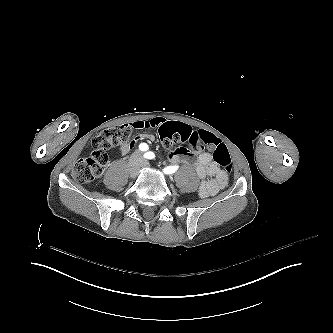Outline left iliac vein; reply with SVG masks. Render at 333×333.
Here are the masks:
<instances>
[{
    "label": "left iliac vein",
    "mask_w": 333,
    "mask_h": 333,
    "mask_svg": "<svg viewBox=\"0 0 333 333\" xmlns=\"http://www.w3.org/2000/svg\"><path fill=\"white\" fill-rule=\"evenodd\" d=\"M147 166H148V163H147V162H145L143 167H147Z\"/></svg>",
    "instance_id": "obj_1"
}]
</instances>
